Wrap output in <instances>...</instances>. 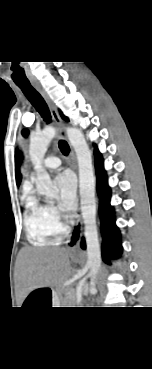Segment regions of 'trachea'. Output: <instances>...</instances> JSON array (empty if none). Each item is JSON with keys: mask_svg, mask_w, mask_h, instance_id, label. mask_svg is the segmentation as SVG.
<instances>
[{"mask_svg": "<svg viewBox=\"0 0 152 369\" xmlns=\"http://www.w3.org/2000/svg\"><path fill=\"white\" fill-rule=\"evenodd\" d=\"M17 86L22 90L24 95L34 106V108L39 112L42 118L46 122H50L51 121L50 111L40 93L30 83H21V84L18 83ZM59 148L62 154L65 156H67L70 152L69 145L64 140L59 141Z\"/></svg>", "mask_w": 152, "mask_h": 369, "instance_id": "obj_1", "label": "trachea"}]
</instances>
